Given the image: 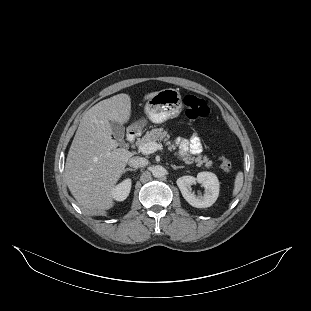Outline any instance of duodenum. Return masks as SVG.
I'll list each match as a JSON object with an SVG mask.
<instances>
[{
    "instance_id": "1",
    "label": "duodenum",
    "mask_w": 311,
    "mask_h": 311,
    "mask_svg": "<svg viewBox=\"0 0 311 311\" xmlns=\"http://www.w3.org/2000/svg\"><path fill=\"white\" fill-rule=\"evenodd\" d=\"M140 135V130L137 127H130L126 133V141L128 143H133L137 137Z\"/></svg>"
}]
</instances>
